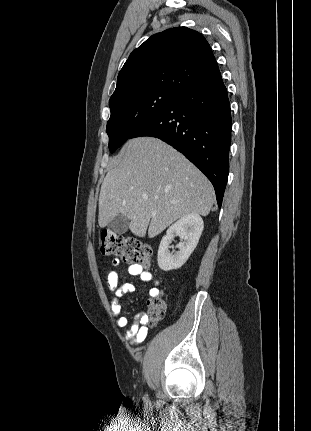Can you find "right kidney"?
Instances as JSON below:
<instances>
[{"instance_id":"obj_1","label":"right kidney","mask_w":311,"mask_h":431,"mask_svg":"<svg viewBox=\"0 0 311 431\" xmlns=\"http://www.w3.org/2000/svg\"><path fill=\"white\" fill-rule=\"evenodd\" d=\"M203 227V219L199 214H186V216L180 217L178 221L172 223L169 229H167L166 235H163L160 241L157 255L159 267L164 269V271L181 267L193 249H195ZM174 235H179L184 241L178 243L177 247H179V251L171 253L168 247Z\"/></svg>"}]
</instances>
